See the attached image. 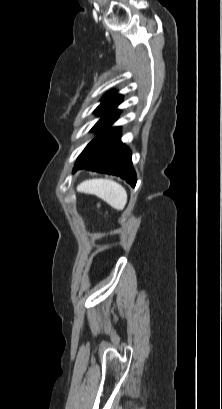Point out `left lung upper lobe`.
<instances>
[{
  "instance_id": "5c2ea615",
  "label": "left lung upper lobe",
  "mask_w": 222,
  "mask_h": 409,
  "mask_svg": "<svg viewBox=\"0 0 222 409\" xmlns=\"http://www.w3.org/2000/svg\"><path fill=\"white\" fill-rule=\"evenodd\" d=\"M122 101L120 95L114 92H109L103 97V102L95 112L102 116L101 120L93 127L92 130L101 131L112 123L118 116L119 111H113V109Z\"/></svg>"
}]
</instances>
